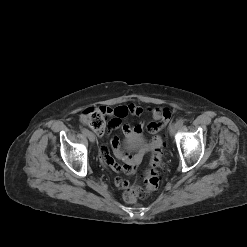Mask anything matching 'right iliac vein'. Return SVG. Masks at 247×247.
Returning <instances> with one entry per match:
<instances>
[{"label":"right iliac vein","mask_w":247,"mask_h":247,"mask_svg":"<svg viewBox=\"0 0 247 247\" xmlns=\"http://www.w3.org/2000/svg\"><path fill=\"white\" fill-rule=\"evenodd\" d=\"M87 137H88L89 141L92 142V143H94L95 140H96V137H95V135L92 132H89L87 134Z\"/></svg>","instance_id":"right-iliac-vein-1"}]
</instances>
